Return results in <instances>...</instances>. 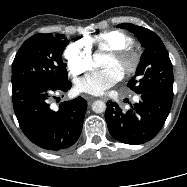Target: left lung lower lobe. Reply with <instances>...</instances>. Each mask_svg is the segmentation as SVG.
<instances>
[{"label": "left lung lower lobe", "instance_id": "1", "mask_svg": "<svg viewBox=\"0 0 187 187\" xmlns=\"http://www.w3.org/2000/svg\"><path fill=\"white\" fill-rule=\"evenodd\" d=\"M140 100L123 112L117 103H107L105 118L112 137L130 145L153 139L163 127L170 112L173 96L159 93L139 94Z\"/></svg>", "mask_w": 187, "mask_h": 187}]
</instances>
